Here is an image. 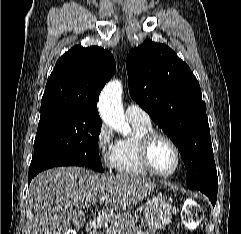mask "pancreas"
<instances>
[{"label":"pancreas","mask_w":241,"mask_h":234,"mask_svg":"<svg viewBox=\"0 0 241 234\" xmlns=\"http://www.w3.org/2000/svg\"><path fill=\"white\" fill-rule=\"evenodd\" d=\"M105 234H132V233H126L119 226L110 225L109 227H107ZM141 234H145V233H141Z\"/></svg>","instance_id":"1"}]
</instances>
